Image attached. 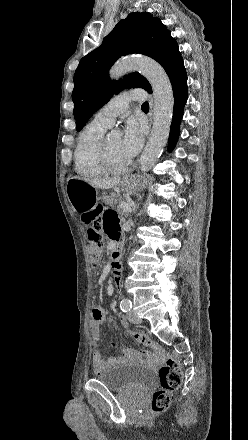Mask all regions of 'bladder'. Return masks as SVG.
Masks as SVG:
<instances>
[{"instance_id": "31cf9c89", "label": "bladder", "mask_w": 248, "mask_h": 440, "mask_svg": "<svg viewBox=\"0 0 248 440\" xmlns=\"http://www.w3.org/2000/svg\"><path fill=\"white\" fill-rule=\"evenodd\" d=\"M95 378L116 391L142 392L152 385L154 373L152 369L143 365L119 363L96 372Z\"/></svg>"}]
</instances>
